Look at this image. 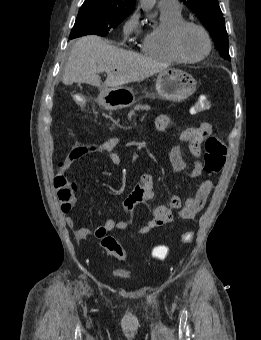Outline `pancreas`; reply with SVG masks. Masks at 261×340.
Wrapping results in <instances>:
<instances>
[{
    "mask_svg": "<svg viewBox=\"0 0 261 340\" xmlns=\"http://www.w3.org/2000/svg\"><path fill=\"white\" fill-rule=\"evenodd\" d=\"M150 107L148 105H140V104H137L134 106L133 110H131V112L129 113V117H131L135 111H139V110H149Z\"/></svg>",
    "mask_w": 261,
    "mask_h": 340,
    "instance_id": "1",
    "label": "pancreas"
}]
</instances>
